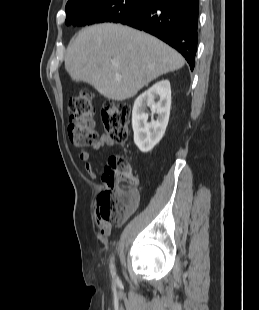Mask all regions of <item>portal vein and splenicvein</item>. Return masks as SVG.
<instances>
[{"label": "portal vein and splenic vein", "mask_w": 259, "mask_h": 310, "mask_svg": "<svg viewBox=\"0 0 259 310\" xmlns=\"http://www.w3.org/2000/svg\"><path fill=\"white\" fill-rule=\"evenodd\" d=\"M112 64H113L114 66H117V65H118V63L115 62V61H113Z\"/></svg>", "instance_id": "18ae733b"}]
</instances>
